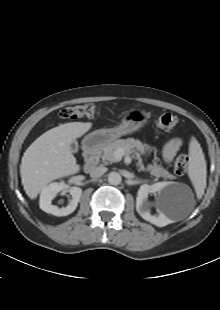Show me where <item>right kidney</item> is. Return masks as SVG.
<instances>
[{
    "label": "right kidney",
    "mask_w": 220,
    "mask_h": 310,
    "mask_svg": "<svg viewBox=\"0 0 220 310\" xmlns=\"http://www.w3.org/2000/svg\"><path fill=\"white\" fill-rule=\"evenodd\" d=\"M62 190H68L72 196V199L66 207L58 208L57 206L52 205L51 202L57 193ZM81 195L82 189L79 187H68L64 182H53L42 189L39 200L40 208L44 212L55 216H66L75 211Z\"/></svg>",
    "instance_id": "ca27d5eb"
}]
</instances>
